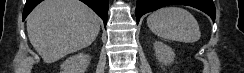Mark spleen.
Returning <instances> with one entry per match:
<instances>
[{"label": "spleen", "mask_w": 244, "mask_h": 73, "mask_svg": "<svg viewBox=\"0 0 244 73\" xmlns=\"http://www.w3.org/2000/svg\"><path fill=\"white\" fill-rule=\"evenodd\" d=\"M147 25L158 37L183 43H194L201 37L197 20L180 7H164L147 18Z\"/></svg>", "instance_id": "3e777b00"}]
</instances>
